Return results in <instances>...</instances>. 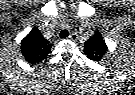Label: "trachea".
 I'll use <instances>...</instances> for the list:
<instances>
[{"label": "trachea", "instance_id": "3493384b", "mask_svg": "<svg viewBox=\"0 0 135 95\" xmlns=\"http://www.w3.org/2000/svg\"><path fill=\"white\" fill-rule=\"evenodd\" d=\"M68 35H69V32L67 30H62L59 34V37L66 38V37H68Z\"/></svg>", "mask_w": 135, "mask_h": 95}]
</instances>
